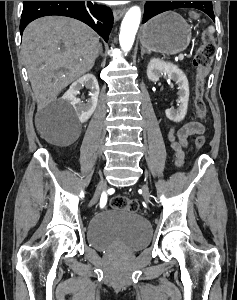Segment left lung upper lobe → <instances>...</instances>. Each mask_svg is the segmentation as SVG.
<instances>
[{"label":"left lung upper lobe","mask_w":237,"mask_h":300,"mask_svg":"<svg viewBox=\"0 0 237 300\" xmlns=\"http://www.w3.org/2000/svg\"><path fill=\"white\" fill-rule=\"evenodd\" d=\"M206 1H147L143 23L153 16L162 12L178 8H196L202 10L205 8Z\"/></svg>","instance_id":"obj_1"}]
</instances>
